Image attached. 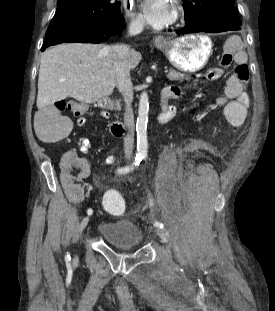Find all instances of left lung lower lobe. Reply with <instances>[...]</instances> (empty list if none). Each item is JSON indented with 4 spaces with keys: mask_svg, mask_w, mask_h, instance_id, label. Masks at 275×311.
Masks as SVG:
<instances>
[{
    "mask_svg": "<svg viewBox=\"0 0 275 311\" xmlns=\"http://www.w3.org/2000/svg\"><path fill=\"white\" fill-rule=\"evenodd\" d=\"M241 25L233 24L224 17H208L194 22L186 23L185 27L178 30L177 34L209 32L218 33L226 31H237Z\"/></svg>",
    "mask_w": 275,
    "mask_h": 311,
    "instance_id": "obj_1",
    "label": "left lung lower lobe"
}]
</instances>
